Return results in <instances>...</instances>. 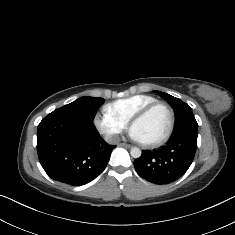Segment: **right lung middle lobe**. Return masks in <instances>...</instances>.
<instances>
[{
	"mask_svg": "<svg viewBox=\"0 0 235 235\" xmlns=\"http://www.w3.org/2000/svg\"><path fill=\"white\" fill-rule=\"evenodd\" d=\"M104 102L103 98L100 97H81L74 102L67 104L59 111H67L85 117L89 120H93L96 109Z\"/></svg>",
	"mask_w": 235,
	"mask_h": 235,
	"instance_id": "obj_1",
	"label": "right lung middle lobe"
}]
</instances>
